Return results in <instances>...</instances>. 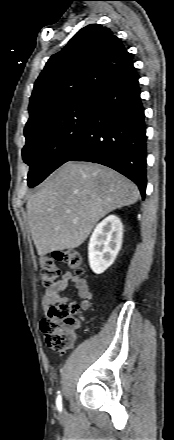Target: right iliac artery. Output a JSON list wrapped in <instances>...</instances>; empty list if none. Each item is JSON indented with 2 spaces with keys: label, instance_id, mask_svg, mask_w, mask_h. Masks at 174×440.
Here are the masks:
<instances>
[{
  "label": "right iliac artery",
  "instance_id": "right-iliac-artery-1",
  "mask_svg": "<svg viewBox=\"0 0 174 440\" xmlns=\"http://www.w3.org/2000/svg\"><path fill=\"white\" fill-rule=\"evenodd\" d=\"M56 405H57L58 410L61 411L62 410V398H61L60 394L58 395V397L56 399Z\"/></svg>",
  "mask_w": 174,
  "mask_h": 440
}]
</instances>
